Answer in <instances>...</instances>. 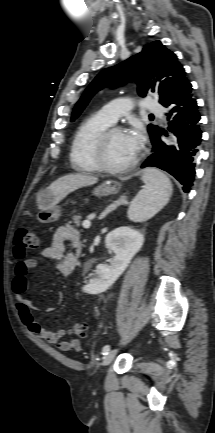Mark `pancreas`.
Instances as JSON below:
<instances>
[{"label": "pancreas", "mask_w": 215, "mask_h": 433, "mask_svg": "<svg viewBox=\"0 0 215 433\" xmlns=\"http://www.w3.org/2000/svg\"><path fill=\"white\" fill-rule=\"evenodd\" d=\"M73 223L77 226L80 227L81 226V216L80 215H75L72 217Z\"/></svg>", "instance_id": "pancreas-1"}]
</instances>
